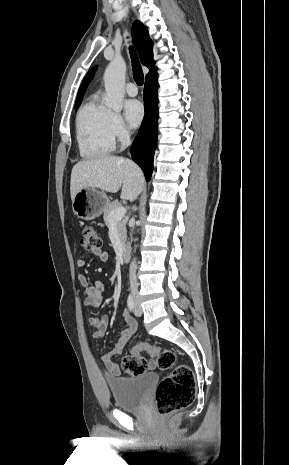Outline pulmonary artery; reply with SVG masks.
Masks as SVG:
<instances>
[{"label":"pulmonary artery","instance_id":"obj_1","mask_svg":"<svg viewBox=\"0 0 289 465\" xmlns=\"http://www.w3.org/2000/svg\"><path fill=\"white\" fill-rule=\"evenodd\" d=\"M125 90L129 96H136L138 93L136 85L132 82L126 84Z\"/></svg>","mask_w":289,"mask_h":465}]
</instances>
